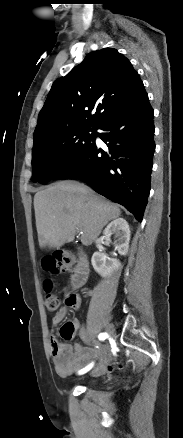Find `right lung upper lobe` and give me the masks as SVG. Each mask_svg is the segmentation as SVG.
<instances>
[{
  "mask_svg": "<svg viewBox=\"0 0 183 438\" xmlns=\"http://www.w3.org/2000/svg\"><path fill=\"white\" fill-rule=\"evenodd\" d=\"M145 94L138 73L124 55L113 48L90 52L53 83L39 113L34 140L68 129L98 127Z\"/></svg>",
  "mask_w": 183,
  "mask_h": 438,
  "instance_id": "1",
  "label": "right lung upper lobe"
}]
</instances>
